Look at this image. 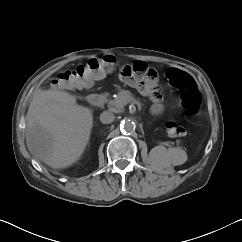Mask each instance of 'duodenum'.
I'll return each mask as SVG.
<instances>
[{
  "label": "duodenum",
  "instance_id": "obj_1",
  "mask_svg": "<svg viewBox=\"0 0 242 242\" xmlns=\"http://www.w3.org/2000/svg\"><path fill=\"white\" fill-rule=\"evenodd\" d=\"M88 103L93 106H101L104 102V97L101 94H91L87 98Z\"/></svg>",
  "mask_w": 242,
  "mask_h": 242
}]
</instances>
